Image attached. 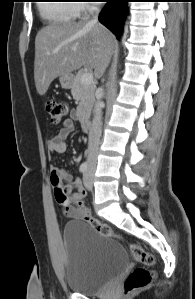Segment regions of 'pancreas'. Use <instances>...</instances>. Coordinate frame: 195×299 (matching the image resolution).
<instances>
[{
    "label": "pancreas",
    "mask_w": 195,
    "mask_h": 299,
    "mask_svg": "<svg viewBox=\"0 0 195 299\" xmlns=\"http://www.w3.org/2000/svg\"><path fill=\"white\" fill-rule=\"evenodd\" d=\"M84 71H79L74 77L73 85L71 87V94L73 99L78 101L77 113L80 118H84L90 115L92 107L95 102V84H83L81 77Z\"/></svg>",
    "instance_id": "1"
}]
</instances>
